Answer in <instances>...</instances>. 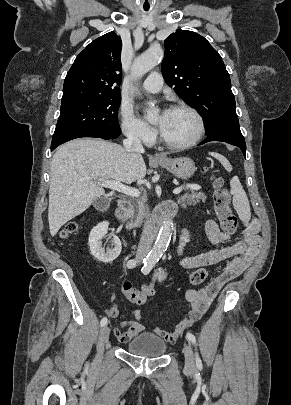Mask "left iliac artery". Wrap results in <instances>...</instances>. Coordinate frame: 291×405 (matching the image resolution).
<instances>
[{"label": "left iliac artery", "instance_id": "1", "mask_svg": "<svg viewBox=\"0 0 291 405\" xmlns=\"http://www.w3.org/2000/svg\"><path fill=\"white\" fill-rule=\"evenodd\" d=\"M154 265H155V262H153V261H148V262L145 263L144 266L142 267V269H141L142 273L145 274V275L148 274V273L152 270V268L154 267ZM186 337H187V339H188L193 345L196 344V338H195V336H194L192 333L188 332V333L186 334ZM195 360H196V364H197L198 367L202 366L201 360H200L199 355H198L197 352H196V354H195Z\"/></svg>", "mask_w": 291, "mask_h": 405}]
</instances>
